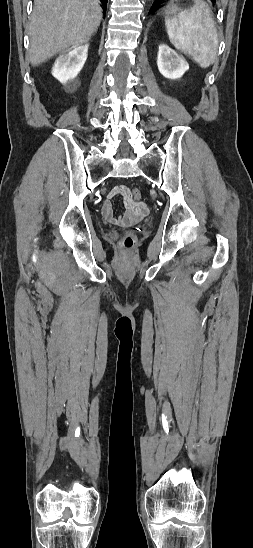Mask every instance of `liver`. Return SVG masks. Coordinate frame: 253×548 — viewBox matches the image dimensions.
Here are the masks:
<instances>
[{
  "label": "liver",
  "instance_id": "obj_1",
  "mask_svg": "<svg viewBox=\"0 0 253 548\" xmlns=\"http://www.w3.org/2000/svg\"><path fill=\"white\" fill-rule=\"evenodd\" d=\"M101 20L99 0H34L28 27L31 65L87 42Z\"/></svg>",
  "mask_w": 253,
  "mask_h": 548
}]
</instances>
